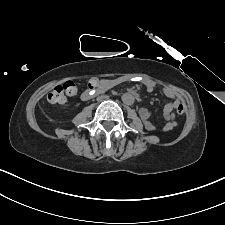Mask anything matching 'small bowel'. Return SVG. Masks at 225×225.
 Listing matches in <instances>:
<instances>
[{
    "mask_svg": "<svg viewBox=\"0 0 225 225\" xmlns=\"http://www.w3.org/2000/svg\"><path fill=\"white\" fill-rule=\"evenodd\" d=\"M96 79L97 78H91L90 81H93ZM113 83L114 82L111 80H102L97 85H89V89L83 94L82 99L83 100L89 99L90 96L95 93L94 91L95 89L101 88V87L106 88L112 85ZM146 89L148 92H152L155 89V85L152 83H148L146 84ZM163 93L164 95H166L172 100L171 102L166 104L165 107L163 108L164 125L162 129L163 131H169L177 125L174 111L176 110V107L182 103H181L180 97L172 89L168 87H164ZM139 115L141 119L143 120L146 129L154 130L156 128L155 123L152 120V114L147 108L145 107L140 108Z\"/></svg>",
    "mask_w": 225,
    "mask_h": 225,
    "instance_id": "obj_1",
    "label": "small bowel"
}]
</instances>
